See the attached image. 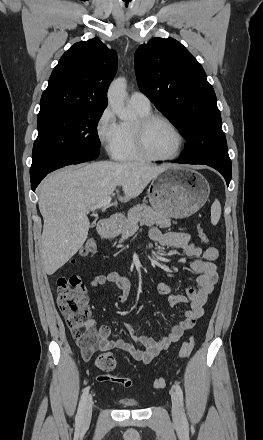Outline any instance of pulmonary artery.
Wrapping results in <instances>:
<instances>
[{
	"instance_id": "obj_1",
	"label": "pulmonary artery",
	"mask_w": 263,
	"mask_h": 440,
	"mask_svg": "<svg viewBox=\"0 0 263 440\" xmlns=\"http://www.w3.org/2000/svg\"><path fill=\"white\" fill-rule=\"evenodd\" d=\"M130 105L137 110H150V100L139 91L132 92L129 97Z\"/></svg>"
}]
</instances>
